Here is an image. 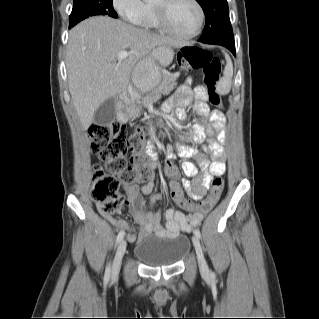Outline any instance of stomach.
<instances>
[{"mask_svg":"<svg viewBox=\"0 0 319 319\" xmlns=\"http://www.w3.org/2000/svg\"><path fill=\"white\" fill-rule=\"evenodd\" d=\"M174 57V51L169 45L155 48L152 54L139 62L133 70V82L143 93L154 89L161 81V69L168 66Z\"/></svg>","mask_w":319,"mask_h":319,"instance_id":"stomach-1","label":"stomach"}]
</instances>
